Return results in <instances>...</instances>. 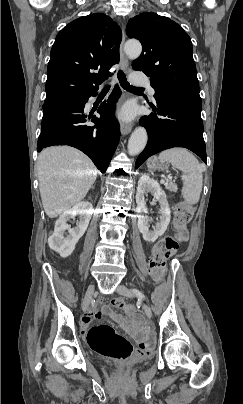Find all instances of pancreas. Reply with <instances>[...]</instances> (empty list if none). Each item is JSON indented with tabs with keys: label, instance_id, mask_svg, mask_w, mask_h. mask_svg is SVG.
I'll return each mask as SVG.
<instances>
[{
	"label": "pancreas",
	"instance_id": "cf45deb5",
	"mask_svg": "<svg viewBox=\"0 0 243 404\" xmlns=\"http://www.w3.org/2000/svg\"><path fill=\"white\" fill-rule=\"evenodd\" d=\"M167 190H169V192H177L178 186H176V184H169V186H167Z\"/></svg>",
	"mask_w": 243,
	"mask_h": 404
}]
</instances>
